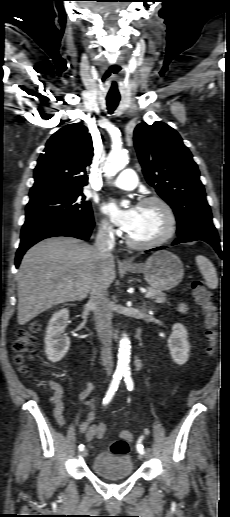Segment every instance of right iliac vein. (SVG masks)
I'll return each mask as SVG.
<instances>
[{
  "instance_id": "obj_1",
  "label": "right iliac vein",
  "mask_w": 230,
  "mask_h": 517,
  "mask_svg": "<svg viewBox=\"0 0 230 517\" xmlns=\"http://www.w3.org/2000/svg\"><path fill=\"white\" fill-rule=\"evenodd\" d=\"M88 454V450L87 449H83L81 452H80V456L81 457H86Z\"/></svg>"
}]
</instances>
